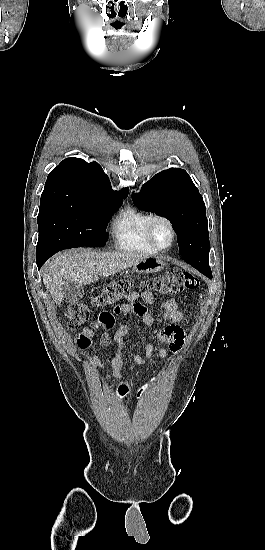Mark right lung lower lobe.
I'll return each mask as SVG.
<instances>
[{"mask_svg": "<svg viewBox=\"0 0 265 550\" xmlns=\"http://www.w3.org/2000/svg\"><path fill=\"white\" fill-rule=\"evenodd\" d=\"M49 258V256H44V255H37V259H36V263H37V266H38V269L41 268V266L45 263V261Z\"/></svg>", "mask_w": 265, "mask_h": 550, "instance_id": "1", "label": "right lung lower lobe"}]
</instances>
